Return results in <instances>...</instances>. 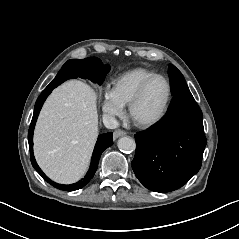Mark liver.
<instances>
[{
	"label": "liver",
	"instance_id": "obj_1",
	"mask_svg": "<svg viewBox=\"0 0 239 239\" xmlns=\"http://www.w3.org/2000/svg\"><path fill=\"white\" fill-rule=\"evenodd\" d=\"M97 123L94 94L87 85L69 81L55 89L34 134L35 156L44 172L58 182L77 181L88 166Z\"/></svg>",
	"mask_w": 239,
	"mask_h": 239
}]
</instances>
